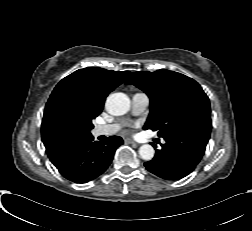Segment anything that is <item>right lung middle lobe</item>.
Returning a JSON list of instances; mask_svg holds the SVG:
<instances>
[{
	"label": "right lung middle lobe",
	"instance_id": "1",
	"mask_svg": "<svg viewBox=\"0 0 252 231\" xmlns=\"http://www.w3.org/2000/svg\"><path fill=\"white\" fill-rule=\"evenodd\" d=\"M97 116L83 110L66 96H56L46 104L42 129L51 139L70 143L90 135L94 127L92 120Z\"/></svg>",
	"mask_w": 252,
	"mask_h": 231
}]
</instances>
